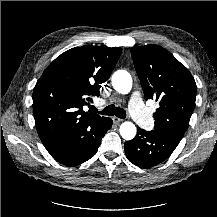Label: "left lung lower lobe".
<instances>
[{"instance_id":"obj_1","label":"left lung lower lobe","mask_w":217,"mask_h":217,"mask_svg":"<svg viewBox=\"0 0 217 217\" xmlns=\"http://www.w3.org/2000/svg\"><path fill=\"white\" fill-rule=\"evenodd\" d=\"M180 140L158 130L138 128L136 137L125 143L128 160L140 168L153 167L167 159Z\"/></svg>"}]
</instances>
